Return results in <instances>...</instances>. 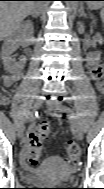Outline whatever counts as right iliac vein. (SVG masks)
Instances as JSON below:
<instances>
[{
  "label": "right iliac vein",
  "instance_id": "63e3f726",
  "mask_svg": "<svg viewBox=\"0 0 104 189\" xmlns=\"http://www.w3.org/2000/svg\"><path fill=\"white\" fill-rule=\"evenodd\" d=\"M42 103H43V99L42 97H37L34 101V109H39L41 106H42ZM23 136H24V127H21L19 130H18V137L20 139H23Z\"/></svg>",
  "mask_w": 104,
  "mask_h": 189
}]
</instances>
